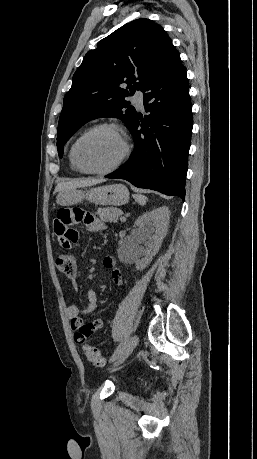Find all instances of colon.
Masks as SVG:
<instances>
[{
  "label": "colon",
  "mask_w": 257,
  "mask_h": 459,
  "mask_svg": "<svg viewBox=\"0 0 257 459\" xmlns=\"http://www.w3.org/2000/svg\"><path fill=\"white\" fill-rule=\"evenodd\" d=\"M56 267L62 274L74 276L76 273V260L70 253L61 254L56 259ZM83 351L87 360L95 366L102 367L105 365L104 357L95 346L86 344L83 347Z\"/></svg>",
  "instance_id": "colon-1"
}]
</instances>
